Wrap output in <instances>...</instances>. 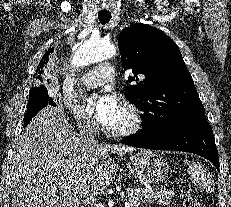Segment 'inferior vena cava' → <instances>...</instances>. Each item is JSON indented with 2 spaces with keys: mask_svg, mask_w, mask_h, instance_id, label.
I'll list each match as a JSON object with an SVG mask.
<instances>
[{
  "mask_svg": "<svg viewBox=\"0 0 231 207\" xmlns=\"http://www.w3.org/2000/svg\"><path fill=\"white\" fill-rule=\"evenodd\" d=\"M79 138L84 146L93 147L97 145L94 137V126L90 119L85 118L79 125Z\"/></svg>",
  "mask_w": 231,
  "mask_h": 207,
  "instance_id": "inferior-vena-cava-1",
  "label": "inferior vena cava"
}]
</instances>
